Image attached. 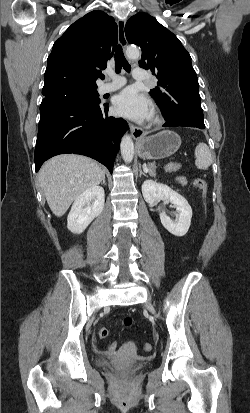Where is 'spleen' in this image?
<instances>
[{"label": "spleen", "instance_id": "spleen-1", "mask_svg": "<svg viewBox=\"0 0 250 413\" xmlns=\"http://www.w3.org/2000/svg\"><path fill=\"white\" fill-rule=\"evenodd\" d=\"M195 166L200 170H206L212 164V156L209 147L200 142L195 148Z\"/></svg>", "mask_w": 250, "mask_h": 413}]
</instances>
